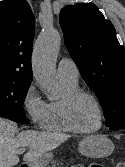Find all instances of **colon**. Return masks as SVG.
Masks as SVG:
<instances>
[{
	"instance_id": "colon-1",
	"label": "colon",
	"mask_w": 125,
	"mask_h": 167,
	"mask_svg": "<svg viewBox=\"0 0 125 167\" xmlns=\"http://www.w3.org/2000/svg\"><path fill=\"white\" fill-rule=\"evenodd\" d=\"M116 167H125V161H119V162L116 164Z\"/></svg>"
}]
</instances>
